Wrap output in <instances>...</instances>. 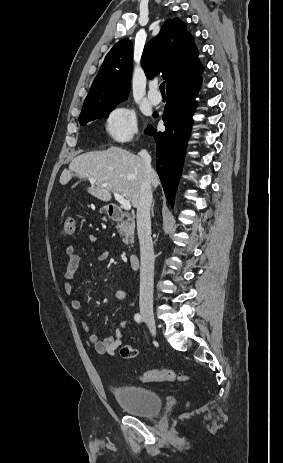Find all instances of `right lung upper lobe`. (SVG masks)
<instances>
[{"mask_svg":"<svg viewBox=\"0 0 283 463\" xmlns=\"http://www.w3.org/2000/svg\"><path fill=\"white\" fill-rule=\"evenodd\" d=\"M132 52V43L128 38L113 46L83 105L128 96ZM141 63L149 78L162 71L167 89L198 78L203 70L193 36L186 31V25L179 18L168 19L160 33L146 44Z\"/></svg>","mask_w":283,"mask_h":463,"instance_id":"cb5924a9","label":"right lung upper lobe"}]
</instances>
